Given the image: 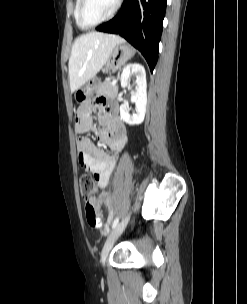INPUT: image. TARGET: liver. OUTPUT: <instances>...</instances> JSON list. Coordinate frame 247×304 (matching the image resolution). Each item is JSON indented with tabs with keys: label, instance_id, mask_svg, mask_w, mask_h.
<instances>
[{
	"label": "liver",
	"instance_id": "obj_1",
	"mask_svg": "<svg viewBox=\"0 0 247 304\" xmlns=\"http://www.w3.org/2000/svg\"><path fill=\"white\" fill-rule=\"evenodd\" d=\"M119 43H124L121 37L100 32L86 33L75 40L69 59L72 93L95 77Z\"/></svg>",
	"mask_w": 247,
	"mask_h": 304
}]
</instances>
